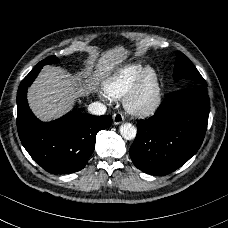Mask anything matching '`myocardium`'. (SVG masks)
I'll use <instances>...</instances> for the list:
<instances>
[{"instance_id":"f54148a6","label":"myocardium","mask_w":228,"mask_h":228,"mask_svg":"<svg viewBox=\"0 0 228 228\" xmlns=\"http://www.w3.org/2000/svg\"><path fill=\"white\" fill-rule=\"evenodd\" d=\"M163 101L162 81L158 71L148 68L127 98L128 109L137 115L154 114Z\"/></svg>"}]
</instances>
